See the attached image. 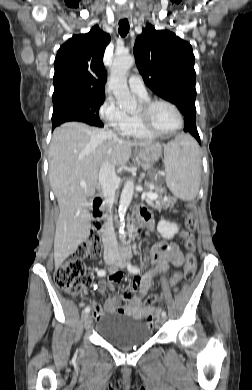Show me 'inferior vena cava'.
I'll return each mask as SVG.
<instances>
[{"label":"inferior vena cava","mask_w":252,"mask_h":390,"mask_svg":"<svg viewBox=\"0 0 252 390\" xmlns=\"http://www.w3.org/2000/svg\"><path fill=\"white\" fill-rule=\"evenodd\" d=\"M106 136L109 140L116 135L112 131H107ZM117 180V175L115 172V166L112 165L108 160H105L99 170V186L101 189V194L104 197L105 205L108 210L111 211L114 197H115V182ZM102 241L104 245V252H117L118 243L114 233V228L110 223L106 226L102 233Z\"/></svg>","instance_id":"obj_1"}]
</instances>
